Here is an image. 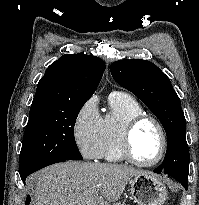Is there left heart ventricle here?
I'll list each match as a JSON object with an SVG mask.
<instances>
[{
  "instance_id": "1",
  "label": "left heart ventricle",
  "mask_w": 199,
  "mask_h": 205,
  "mask_svg": "<svg viewBox=\"0 0 199 205\" xmlns=\"http://www.w3.org/2000/svg\"><path fill=\"white\" fill-rule=\"evenodd\" d=\"M161 149V139L154 124H140L132 136V151L142 162H151L157 158Z\"/></svg>"
}]
</instances>
